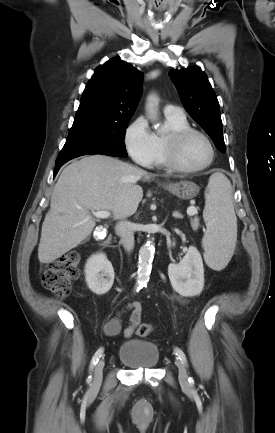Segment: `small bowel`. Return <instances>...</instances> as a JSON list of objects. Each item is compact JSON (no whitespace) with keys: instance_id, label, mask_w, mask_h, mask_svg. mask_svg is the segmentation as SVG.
I'll use <instances>...</instances> for the list:
<instances>
[{"instance_id":"obj_1","label":"small bowel","mask_w":275,"mask_h":433,"mask_svg":"<svg viewBox=\"0 0 275 433\" xmlns=\"http://www.w3.org/2000/svg\"><path fill=\"white\" fill-rule=\"evenodd\" d=\"M129 314V322L127 327L124 329V336L130 338L138 325L141 322L142 317V305L140 302H132L123 307L117 316L110 318L104 325V331L108 336H116L122 330V315Z\"/></svg>"}]
</instances>
